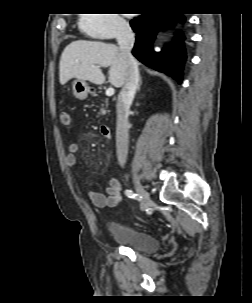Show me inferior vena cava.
I'll list each match as a JSON object with an SVG mask.
<instances>
[{"instance_id": "obj_1", "label": "inferior vena cava", "mask_w": 252, "mask_h": 303, "mask_svg": "<svg viewBox=\"0 0 252 303\" xmlns=\"http://www.w3.org/2000/svg\"><path fill=\"white\" fill-rule=\"evenodd\" d=\"M116 39L126 70L125 83L118 96L116 104V152L119 164L124 166L128 154L129 109L139 85V70L137 61L131 54L135 37L127 22H119L117 26Z\"/></svg>"}]
</instances>
